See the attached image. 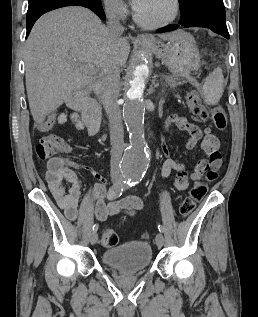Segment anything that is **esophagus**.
<instances>
[{
    "label": "esophagus",
    "mask_w": 258,
    "mask_h": 317,
    "mask_svg": "<svg viewBox=\"0 0 258 317\" xmlns=\"http://www.w3.org/2000/svg\"><path fill=\"white\" fill-rule=\"evenodd\" d=\"M152 37L148 34L140 33L136 36V40H147L151 39Z\"/></svg>",
    "instance_id": "esophagus-1"
}]
</instances>
